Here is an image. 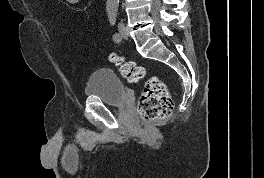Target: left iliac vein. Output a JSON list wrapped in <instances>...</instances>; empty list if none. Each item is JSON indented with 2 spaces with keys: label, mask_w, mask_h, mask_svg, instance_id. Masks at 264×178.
I'll return each mask as SVG.
<instances>
[{
  "label": "left iliac vein",
  "mask_w": 264,
  "mask_h": 178,
  "mask_svg": "<svg viewBox=\"0 0 264 178\" xmlns=\"http://www.w3.org/2000/svg\"><path fill=\"white\" fill-rule=\"evenodd\" d=\"M118 30H119L121 39H127L128 38V34L126 31L125 25L122 22H119Z\"/></svg>",
  "instance_id": "1"
}]
</instances>
